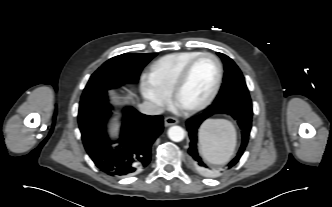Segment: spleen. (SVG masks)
Returning a JSON list of instances; mask_svg holds the SVG:
<instances>
[{
    "instance_id": "obj_1",
    "label": "spleen",
    "mask_w": 332,
    "mask_h": 207,
    "mask_svg": "<svg viewBox=\"0 0 332 207\" xmlns=\"http://www.w3.org/2000/svg\"><path fill=\"white\" fill-rule=\"evenodd\" d=\"M200 152L212 164L226 163L234 153L236 131L225 119H210L199 131Z\"/></svg>"
}]
</instances>
